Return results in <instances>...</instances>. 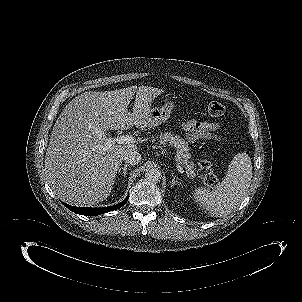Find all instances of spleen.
I'll use <instances>...</instances> for the list:
<instances>
[{"label":"spleen","mask_w":302,"mask_h":302,"mask_svg":"<svg viewBox=\"0 0 302 302\" xmlns=\"http://www.w3.org/2000/svg\"><path fill=\"white\" fill-rule=\"evenodd\" d=\"M252 178L251 159L246 153H238L232 160L226 177L213 190L198 187L193 199L213 216L230 214L244 198Z\"/></svg>","instance_id":"spleen-1"}]
</instances>
